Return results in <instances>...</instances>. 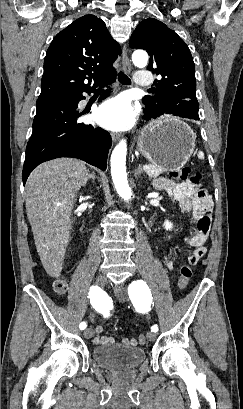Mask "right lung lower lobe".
Wrapping results in <instances>:
<instances>
[{
  "mask_svg": "<svg viewBox=\"0 0 243 409\" xmlns=\"http://www.w3.org/2000/svg\"><path fill=\"white\" fill-rule=\"evenodd\" d=\"M114 81L115 76H112L105 82ZM93 91L85 90L88 93ZM82 92L37 100L33 132L26 147L23 184L36 166L59 157L78 158L102 170L106 169L111 136L100 127L94 128L77 121L82 115L77 109L79 101L84 99ZM107 96L108 92L101 98Z\"/></svg>",
  "mask_w": 243,
  "mask_h": 409,
  "instance_id": "1",
  "label": "right lung lower lobe"
}]
</instances>
